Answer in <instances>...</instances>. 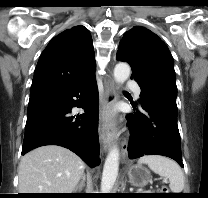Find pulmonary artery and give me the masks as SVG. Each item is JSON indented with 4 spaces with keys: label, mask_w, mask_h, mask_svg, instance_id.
Returning <instances> with one entry per match:
<instances>
[{
    "label": "pulmonary artery",
    "mask_w": 208,
    "mask_h": 198,
    "mask_svg": "<svg viewBox=\"0 0 208 198\" xmlns=\"http://www.w3.org/2000/svg\"><path fill=\"white\" fill-rule=\"evenodd\" d=\"M128 87L133 91L135 98L139 99L140 98V93H141V90H140L139 86L136 83H134L132 81H129L128 82Z\"/></svg>",
    "instance_id": "pulmonary-artery-1"
}]
</instances>
